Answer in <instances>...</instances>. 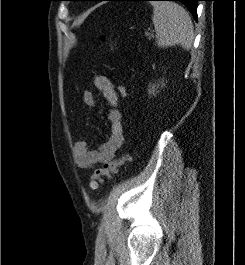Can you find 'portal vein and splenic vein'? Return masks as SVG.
Masks as SVG:
<instances>
[{"label":"portal vein and splenic vein","mask_w":245,"mask_h":265,"mask_svg":"<svg viewBox=\"0 0 245 265\" xmlns=\"http://www.w3.org/2000/svg\"><path fill=\"white\" fill-rule=\"evenodd\" d=\"M147 36H149L150 34L149 33H146Z\"/></svg>","instance_id":"18ae733b"}]
</instances>
